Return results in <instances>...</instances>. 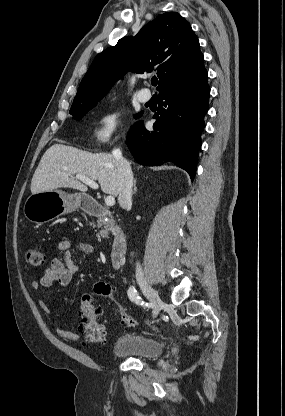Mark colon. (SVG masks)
<instances>
[{"instance_id":"1","label":"colon","mask_w":285,"mask_h":416,"mask_svg":"<svg viewBox=\"0 0 285 416\" xmlns=\"http://www.w3.org/2000/svg\"><path fill=\"white\" fill-rule=\"evenodd\" d=\"M26 260L31 268L38 269L44 264L45 255L38 248H30L26 253ZM94 296L112 300L116 304L123 323L127 326L138 325V321L115 300L111 286L105 282H97L93 286V292L85 293L81 300L80 333L84 344H101L106 339V325L100 319L102 310L95 304Z\"/></svg>"}]
</instances>
